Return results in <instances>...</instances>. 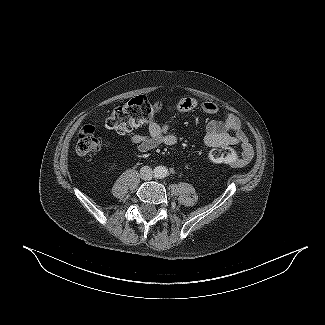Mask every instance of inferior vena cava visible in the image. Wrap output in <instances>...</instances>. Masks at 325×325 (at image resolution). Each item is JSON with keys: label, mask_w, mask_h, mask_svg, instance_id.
<instances>
[{"label": "inferior vena cava", "mask_w": 325, "mask_h": 325, "mask_svg": "<svg viewBox=\"0 0 325 325\" xmlns=\"http://www.w3.org/2000/svg\"><path fill=\"white\" fill-rule=\"evenodd\" d=\"M153 173L154 172L151 167L144 166L140 170V177H141V179H143L145 181L151 180L153 178Z\"/></svg>", "instance_id": "602c4592"}]
</instances>
